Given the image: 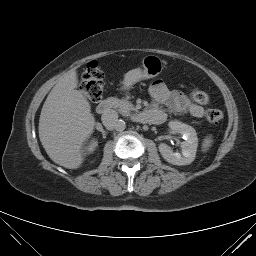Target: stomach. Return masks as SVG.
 <instances>
[{"instance_id": "stomach-1", "label": "stomach", "mask_w": 256, "mask_h": 256, "mask_svg": "<svg viewBox=\"0 0 256 256\" xmlns=\"http://www.w3.org/2000/svg\"><path fill=\"white\" fill-rule=\"evenodd\" d=\"M163 61L155 55L145 56L142 60V68H136L124 75L123 89H130L135 83L158 76L163 70Z\"/></svg>"}]
</instances>
